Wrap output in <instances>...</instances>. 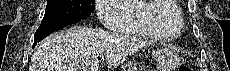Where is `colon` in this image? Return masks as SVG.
I'll return each instance as SVG.
<instances>
[{
    "instance_id": "5ec220e1",
    "label": "colon",
    "mask_w": 230,
    "mask_h": 71,
    "mask_svg": "<svg viewBox=\"0 0 230 71\" xmlns=\"http://www.w3.org/2000/svg\"><path fill=\"white\" fill-rule=\"evenodd\" d=\"M178 70L179 71H191V68L188 65H181Z\"/></svg>"
}]
</instances>
